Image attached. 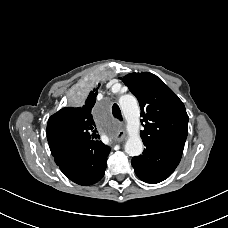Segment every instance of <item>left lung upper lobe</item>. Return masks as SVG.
Listing matches in <instances>:
<instances>
[{
  "instance_id": "5c2ea615",
  "label": "left lung upper lobe",
  "mask_w": 228,
  "mask_h": 228,
  "mask_svg": "<svg viewBox=\"0 0 228 228\" xmlns=\"http://www.w3.org/2000/svg\"><path fill=\"white\" fill-rule=\"evenodd\" d=\"M122 81L139 101L144 145L159 144L183 150L189 117L178 96L149 72L131 73Z\"/></svg>"
}]
</instances>
